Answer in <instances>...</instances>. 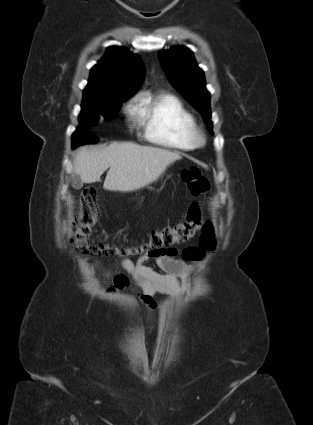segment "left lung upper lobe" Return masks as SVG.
<instances>
[{"mask_svg": "<svg viewBox=\"0 0 313 425\" xmlns=\"http://www.w3.org/2000/svg\"><path fill=\"white\" fill-rule=\"evenodd\" d=\"M159 61L176 90L200 112L212 132L210 94L206 89L204 73L198 67L191 50L175 46L158 53Z\"/></svg>", "mask_w": 313, "mask_h": 425, "instance_id": "1", "label": "left lung upper lobe"}]
</instances>
